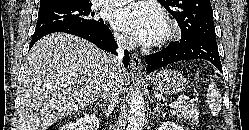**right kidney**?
<instances>
[{
    "mask_svg": "<svg viewBox=\"0 0 249 130\" xmlns=\"http://www.w3.org/2000/svg\"><path fill=\"white\" fill-rule=\"evenodd\" d=\"M99 120L95 114L84 115L76 120L64 125L60 130H98Z\"/></svg>",
    "mask_w": 249,
    "mask_h": 130,
    "instance_id": "ca27d5eb",
    "label": "right kidney"
}]
</instances>
